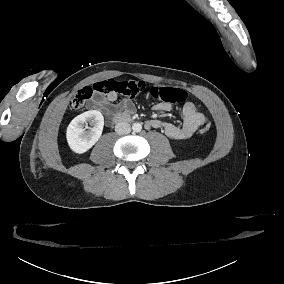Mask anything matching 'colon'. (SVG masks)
<instances>
[{
	"mask_svg": "<svg viewBox=\"0 0 284 284\" xmlns=\"http://www.w3.org/2000/svg\"><path fill=\"white\" fill-rule=\"evenodd\" d=\"M146 88V82L143 80L135 81H117V80H103L97 81L90 85L85 86L70 100V104L73 109H79L81 106L89 100L94 93H110L116 92L121 93L126 96H134L142 92ZM149 93L151 97L165 102H170L172 104H184L188 100V95L185 88L178 86L173 87H163L161 85L155 84L151 86ZM213 129V124L211 122H206L204 128L201 129L202 133H208Z\"/></svg>",
	"mask_w": 284,
	"mask_h": 284,
	"instance_id": "5ec220e1",
	"label": "colon"
}]
</instances>
